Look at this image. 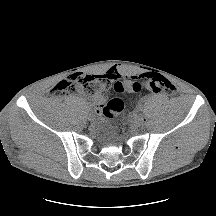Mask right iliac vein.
Segmentation results:
<instances>
[{"label":"right iliac vein","mask_w":216,"mask_h":216,"mask_svg":"<svg viewBox=\"0 0 216 216\" xmlns=\"http://www.w3.org/2000/svg\"><path fill=\"white\" fill-rule=\"evenodd\" d=\"M88 119H89V120H93L94 118H93V116L90 114V115L88 116Z\"/></svg>","instance_id":"1"}]
</instances>
